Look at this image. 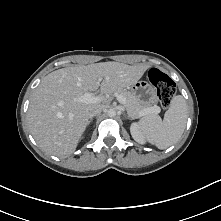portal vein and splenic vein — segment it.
<instances>
[{"instance_id":"1","label":"portal vein and splenic vein","mask_w":221,"mask_h":221,"mask_svg":"<svg viewBox=\"0 0 221 221\" xmlns=\"http://www.w3.org/2000/svg\"><path fill=\"white\" fill-rule=\"evenodd\" d=\"M115 97L117 98V100L121 103V104H125L126 103V99L118 94H115ZM80 101L84 102V103H96V102H100L101 99L99 97H95L92 93L87 92L84 95H82L80 97ZM160 108L159 107H150V108H146L145 110H143L141 112V116L143 115H148V114H152L154 112H159Z\"/></svg>"}]
</instances>
